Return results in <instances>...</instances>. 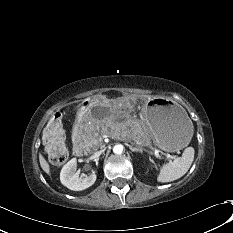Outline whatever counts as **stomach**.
<instances>
[{"label":"stomach","instance_id":"stomach-1","mask_svg":"<svg viewBox=\"0 0 233 233\" xmlns=\"http://www.w3.org/2000/svg\"><path fill=\"white\" fill-rule=\"evenodd\" d=\"M92 106L89 108L88 103ZM128 99L104 102L98 99L84 101L80 108V116L85 121L99 123L108 119L119 120L123 114L132 110ZM148 132L155 144L166 152H174L184 148L193 135V124L187 113L177 104L165 98L151 99L144 108Z\"/></svg>","mask_w":233,"mask_h":233}]
</instances>
